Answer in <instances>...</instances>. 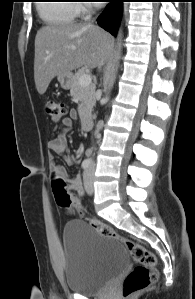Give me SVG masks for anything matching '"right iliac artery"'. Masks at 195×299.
<instances>
[{
  "label": "right iliac artery",
  "instance_id": "obj_1",
  "mask_svg": "<svg viewBox=\"0 0 195 299\" xmlns=\"http://www.w3.org/2000/svg\"><path fill=\"white\" fill-rule=\"evenodd\" d=\"M90 160L89 159H85V160H83V162H82V164H81V167L84 169V170H86V169H88V167L90 166Z\"/></svg>",
  "mask_w": 195,
  "mask_h": 299
}]
</instances>
